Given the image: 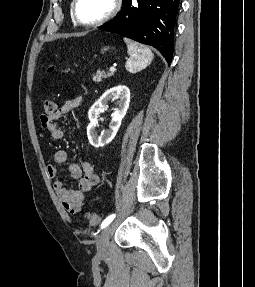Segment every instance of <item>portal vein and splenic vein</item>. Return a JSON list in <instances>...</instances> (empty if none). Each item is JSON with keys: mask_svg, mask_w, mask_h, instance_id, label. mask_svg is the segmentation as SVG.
I'll return each mask as SVG.
<instances>
[{"mask_svg": "<svg viewBox=\"0 0 255 287\" xmlns=\"http://www.w3.org/2000/svg\"><path fill=\"white\" fill-rule=\"evenodd\" d=\"M110 72H116L115 66H113V68H110Z\"/></svg>", "mask_w": 255, "mask_h": 287, "instance_id": "obj_1", "label": "portal vein and splenic vein"}]
</instances>
